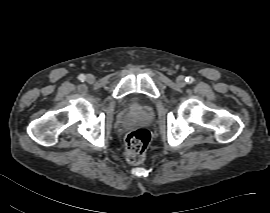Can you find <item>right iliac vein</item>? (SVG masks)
Here are the masks:
<instances>
[{"label":"right iliac vein","mask_w":270,"mask_h":213,"mask_svg":"<svg viewBox=\"0 0 270 213\" xmlns=\"http://www.w3.org/2000/svg\"><path fill=\"white\" fill-rule=\"evenodd\" d=\"M86 80L88 83H93L95 81V77L92 74H88Z\"/></svg>","instance_id":"obj_1"}]
</instances>
